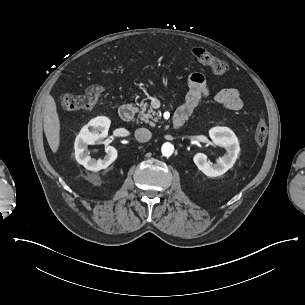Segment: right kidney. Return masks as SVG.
Segmentation results:
<instances>
[{"label": "right kidney", "instance_id": "ca27d5eb", "mask_svg": "<svg viewBox=\"0 0 305 305\" xmlns=\"http://www.w3.org/2000/svg\"><path fill=\"white\" fill-rule=\"evenodd\" d=\"M92 126L93 131L90 132L88 127ZM110 126V120L107 117H97L92 119L88 125L82 128L80 134L76 137L74 148L75 158L77 162L83 165L87 170L99 171L107 168L117 158V150L108 146L104 159L91 158L87 151L88 144H94L96 140L102 138L101 134H107ZM104 137V136H103Z\"/></svg>", "mask_w": 305, "mask_h": 305}]
</instances>
